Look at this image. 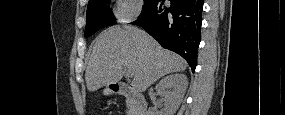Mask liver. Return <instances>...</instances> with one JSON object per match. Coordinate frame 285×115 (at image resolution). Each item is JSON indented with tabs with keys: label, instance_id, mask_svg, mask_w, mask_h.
I'll use <instances>...</instances> for the list:
<instances>
[{
	"label": "liver",
	"instance_id": "liver-1",
	"mask_svg": "<svg viewBox=\"0 0 285 115\" xmlns=\"http://www.w3.org/2000/svg\"><path fill=\"white\" fill-rule=\"evenodd\" d=\"M123 68L131 71L134 90L144 92L161 77L184 71L187 63L181 56L162 48L142 30L113 26L96 39L85 72L87 89L94 92L119 82Z\"/></svg>",
	"mask_w": 285,
	"mask_h": 115
}]
</instances>
